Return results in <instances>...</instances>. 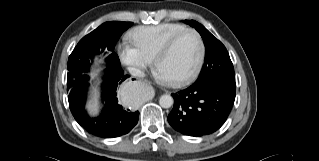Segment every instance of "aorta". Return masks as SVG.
I'll list each match as a JSON object with an SVG mask.
<instances>
[{
    "label": "aorta",
    "instance_id": "obj_1",
    "mask_svg": "<svg viewBox=\"0 0 319 161\" xmlns=\"http://www.w3.org/2000/svg\"><path fill=\"white\" fill-rule=\"evenodd\" d=\"M141 89H147L145 87H141ZM173 98L170 95H162L159 99V104L162 108H170L173 105Z\"/></svg>",
    "mask_w": 319,
    "mask_h": 161
}]
</instances>
